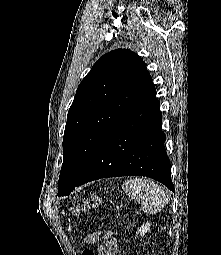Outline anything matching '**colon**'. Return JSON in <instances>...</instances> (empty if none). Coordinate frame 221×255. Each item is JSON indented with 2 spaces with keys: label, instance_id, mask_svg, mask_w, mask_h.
<instances>
[{
  "label": "colon",
  "instance_id": "1",
  "mask_svg": "<svg viewBox=\"0 0 221 255\" xmlns=\"http://www.w3.org/2000/svg\"><path fill=\"white\" fill-rule=\"evenodd\" d=\"M101 203V198L97 195H91L88 197H84L71 206H69L68 210L73 215H80L82 213H88L92 209L96 208ZM82 255H95L94 251L90 248H86L83 250Z\"/></svg>",
  "mask_w": 221,
  "mask_h": 255
}]
</instances>
